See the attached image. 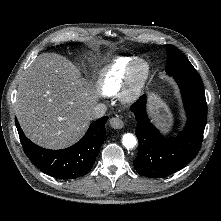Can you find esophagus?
Masks as SVG:
<instances>
[{"label":"esophagus","instance_id":"34e87169","mask_svg":"<svg viewBox=\"0 0 221 221\" xmlns=\"http://www.w3.org/2000/svg\"><path fill=\"white\" fill-rule=\"evenodd\" d=\"M110 126L114 129H121L124 126V123L119 117H112L110 120Z\"/></svg>","mask_w":221,"mask_h":221}]
</instances>
